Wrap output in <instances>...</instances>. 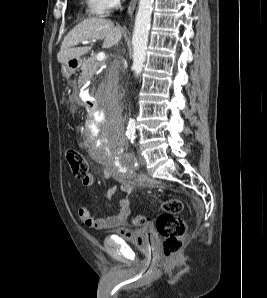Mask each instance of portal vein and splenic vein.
I'll use <instances>...</instances> for the list:
<instances>
[{
  "label": "portal vein and splenic vein",
  "instance_id": "portal-vein-and-splenic-vein-1",
  "mask_svg": "<svg viewBox=\"0 0 267 298\" xmlns=\"http://www.w3.org/2000/svg\"><path fill=\"white\" fill-rule=\"evenodd\" d=\"M95 41H96L95 39L90 40V41H82V44H88L90 42H95ZM96 58L98 61H103L105 59V53H103V52L98 53Z\"/></svg>",
  "mask_w": 267,
  "mask_h": 298
}]
</instances>
